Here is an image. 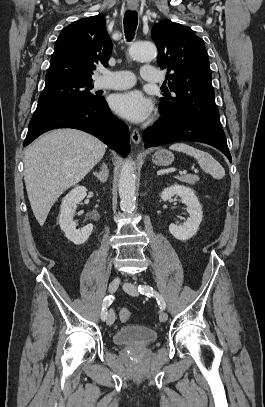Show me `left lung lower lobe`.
Listing matches in <instances>:
<instances>
[{
  "mask_svg": "<svg viewBox=\"0 0 265 407\" xmlns=\"http://www.w3.org/2000/svg\"><path fill=\"white\" fill-rule=\"evenodd\" d=\"M146 147H156L175 141H196L212 145L223 152L231 162L226 136L222 128L205 121L185 117H162L143 133Z\"/></svg>",
  "mask_w": 265,
  "mask_h": 407,
  "instance_id": "1",
  "label": "left lung lower lobe"
}]
</instances>
